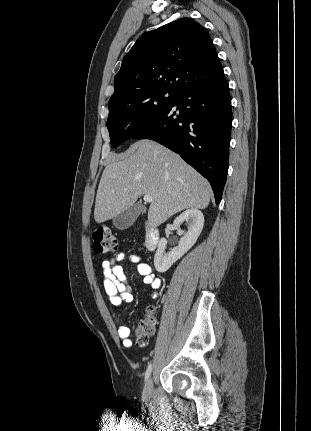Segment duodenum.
<instances>
[{"label": "duodenum", "mask_w": 311, "mask_h": 431, "mask_svg": "<svg viewBox=\"0 0 311 431\" xmlns=\"http://www.w3.org/2000/svg\"><path fill=\"white\" fill-rule=\"evenodd\" d=\"M160 240L159 231L156 227L148 225L146 227L145 234V246L149 251H153L157 248Z\"/></svg>", "instance_id": "410a0bca"}]
</instances>
